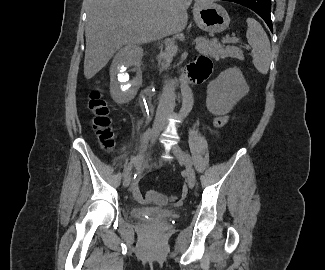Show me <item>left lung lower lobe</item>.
Segmentation results:
<instances>
[{
  "label": "left lung lower lobe",
  "instance_id": "left-lung-lower-lobe-1",
  "mask_svg": "<svg viewBox=\"0 0 325 270\" xmlns=\"http://www.w3.org/2000/svg\"><path fill=\"white\" fill-rule=\"evenodd\" d=\"M246 6L255 11L267 23L271 31H273L271 21V0H226Z\"/></svg>",
  "mask_w": 325,
  "mask_h": 270
}]
</instances>
